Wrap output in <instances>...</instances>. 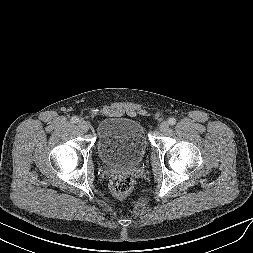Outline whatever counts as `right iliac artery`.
<instances>
[{"mask_svg":"<svg viewBox=\"0 0 253 253\" xmlns=\"http://www.w3.org/2000/svg\"><path fill=\"white\" fill-rule=\"evenodd\" d=\"M71 121H72V123H78L79 122V118L76 117V116H74V117H72Z\"/></svg>","mask_w":253,"mask_h":253,"instance_id":"right-iliac-artery-1","label":"right iliac artery"}]
</instances>
